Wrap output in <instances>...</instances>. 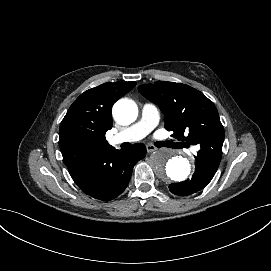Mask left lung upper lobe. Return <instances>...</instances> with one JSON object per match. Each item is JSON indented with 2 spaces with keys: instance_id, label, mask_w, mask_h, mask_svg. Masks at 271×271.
Returning <instances> with one entry per match:
<instances>
[{
  "instance_id": "1",
  "label": "left lung upper lobe",
  "mask_w": 271,
  "mask_h": 271,
  "mask_svg": "<svg viewBox=\"0 0 271 271\" xmlns=\"http://www.w3.org/2000/svg\"><path fill=\"white\" fill-rule=\"evenodd\" d=\"M138 90L160 107L172 137L222 154L224 128L214 103L204 94L188 85L165 81L143 84Z\"/></svg>"
}]
</instances>
